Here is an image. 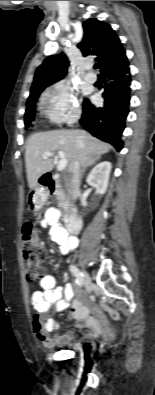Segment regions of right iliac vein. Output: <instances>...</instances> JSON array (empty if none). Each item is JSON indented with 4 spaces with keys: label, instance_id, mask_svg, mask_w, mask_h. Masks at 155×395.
I'll use <instances>...</instances> for the list:
<instances>
[{
    "label": "right iliac vein",
    "instance_id": "obj_1",
    "mask_svg": "<svg viewBox=\"0 0 155 395\" xmlns=\"http://www.w3.org/2000/svg\"><path fill=\"white\" fill-rule=\"evenodd\" d=\"M81 273H82V281H83V284H84V286L86 288V291L88 293H90L92 291V288H93V284H92L91 278L89 277V275L85 271H81Z\"/></svg>",
    "mask_w": 155,
    "mask_h": 395
}]
</instances>
